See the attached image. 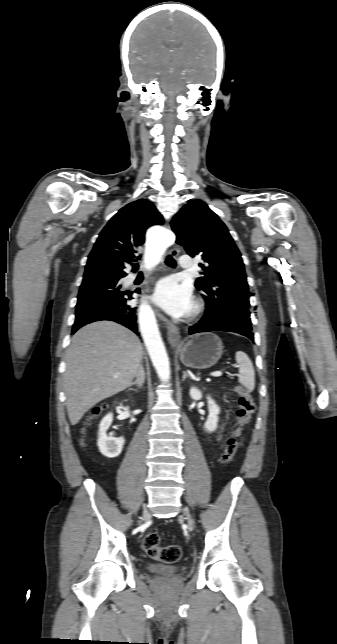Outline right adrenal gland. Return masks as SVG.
Masks as SVG:
<instances>
[{
	"label": "right adrenal gland",
	"mask_w": 337,
	"mask_h": 644,
	"mask_svg": "<svg viewBox=\"0 0 337 644\" xmlns=\"http://www.w3.org/2000/svg\"><path fill=\"white\" fill-rule=\"evenodd\" d=\"M145 381V375L144 373H141L137 379L130 384V386L136 385L138 388H142L143 384Z\"/></svg>",
	"instance_id": "right-adrenal-gland-1"
}]
</instances>
